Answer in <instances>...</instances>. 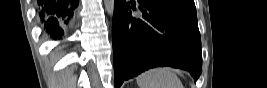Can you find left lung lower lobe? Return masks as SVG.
<instances>
[{"mask_svg":"<svg viewBox=\"0 0 267 88\" xmlns=\"http://www.w3.org/2000/svg\"><path fill=\"white\" fill-rule=\"evenodd\" d=\"M115 0L113 53L115 88L156 66L187 70L195 81L201 71V40L196 13L156 2Z\"/></svg>","mask_w":267,"mask_h":88,"instance_id":"0a47b994","label":"left lung lower lobe"}]
</instances>
